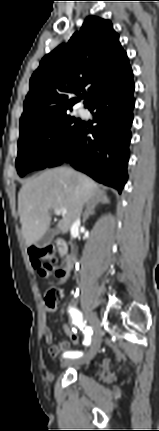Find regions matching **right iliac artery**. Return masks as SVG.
I'll use <instances>...</instances> for the list:
<instances>
[{
    "label": "right iliac artery",
    "instance_id": "1",
    "mask_svg": "<svg viewBox=\"0 0 159 431\" xmlns=\"http://www.w3.org/2000/svg\"><path fill=\"white\" fill-rule=\"evenodd\" d=\"M69 313L72 317V323L78 326L80 329L83 330V333L85 335L83 344L85 346H89L91 343V336H92V329L89 326L85 325V322L82 320V314L79 310L76 308L71 307L69 309ZM83 355V352L80 351H71L64 354L65 358H79Z\"/></svg>",
    "mask_w": 159,
    "mask_h": 431
}]
</instances>
